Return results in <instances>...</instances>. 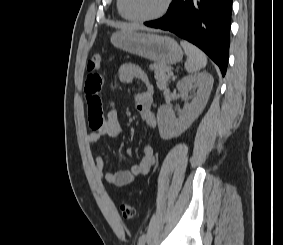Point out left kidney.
I'll return each instance as SVG.
<instances>
[{
	"instance_id": "1",
	"label": "left kidney",
	"mask_w": 283,
	"mask_h": 245,
	"mask_svg": "<svg viewBox=\"0 0 283 245\" xmlns=\"http://www.w3.org/2000/svg\"><path fill=\"white\" fill-rule=\"evenodd\" d=\"M214 79L207 72L198 73L182 78L177 83V90L183 100L192 99L190 103L185 102L179 118L175 117L174 111L169 105H162L157 112V123L160 137L168 140L182 134L198 118L204 110ZM197 87V93L188 97L189 90Z\"/></svg>"
}]
</instances>
